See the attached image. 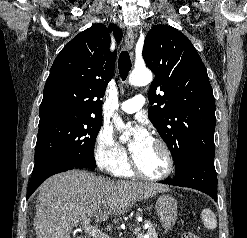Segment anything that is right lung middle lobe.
Instances as JSON below:
<instances>
[{"instance_id":"dd1d6c3e","label":"right lung middle lobe","mask_w":247,"mask_h":238,"mask_svg":"<svg viewBox=\"0 0 247 238\" xmlns=\"http://www.w3.org/2000/svg\"><path fill=\"white\" fill-rule=\"evenodd\" d=\"M101 117L55 120L39 124L33 174L45 165L66 161L94 169V144Z\"/></svg>"}]
</instances>
